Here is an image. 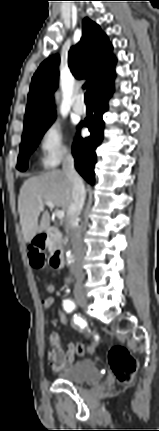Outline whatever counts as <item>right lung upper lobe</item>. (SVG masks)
<instances>
[{
	"instance_id": "right-lung-upper-lobe-1",
	"label": "right lung upper lobe",
	"mask_w": 159,
	"mask_h": 431,
	"mask_svg": "<svg viewBox=\"0 0 159 431\" xmlns=\"http://www.w3.org/2000/svg\"><path fill=\"white\" fill-rule=\"evenodd\" d=\"M59 61L58 55L51 56L35 72L28 94L24 131L56 116L53 93L58 86ZM115 63L107 36L97 24L85 18L82 38L68 54L72 74L78 79L87 78L84 87H92L95 93L114 79Z\"/></svg>"
}]
</instances>
